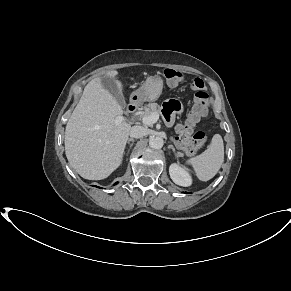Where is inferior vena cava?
Returning <instances> with one entry per match:
<instances>
[{
	"label": "inferior vena cava",
	"mask_w": 291,
	"mask_h": 291,
	"mask_svg": "<svg viewBox=\"0 0 291 291\" xmlns=\"http://www.w3.org/2000/svg\"><path fill=\"white\" fill-rule=\"evenodd\" d=\"M147 134V129L142 126H133L130 130L131 138H141Z\"/></svg>",
	"instance_id": "602c4592"
}]
</instances>
